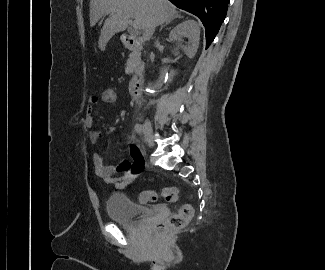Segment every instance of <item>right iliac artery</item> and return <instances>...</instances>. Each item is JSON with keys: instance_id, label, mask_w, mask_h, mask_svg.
I'll return each instance as SVG.
<instances>
[{"instance_id": "right-iliac-artery-1", "label": "right iliac artery", "mask_w": 325, "mask_h": 270, "mask_svg": "<svg viewBox=\"0 0 325 270\" xmlns=\"http://www.w3.org/2000/svg\"><path fill=\"white\" fill-rule=\"evenodd\" d=\"M135 131L139 134L143 132V126L141 124H136L135 125Z\"/></svg>"}]
</instances>
